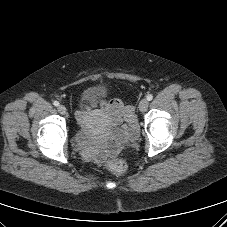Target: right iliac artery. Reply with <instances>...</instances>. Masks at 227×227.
I'll return each mask as SVG.
<instances>
[{"mask_svg":"<svg viewBox=\"0 0 227 227\" xmlns=\"http://www.w3.org/2000/svg\"><path fill=\"white\" fill-rule=\"evenodd\" d=\"M53 105L57 107V106H59V102L58 101H54Z\"/></svg>","mask_w":227,"mask_h":227,"instance_id":"right-iliac-artery-1","label":"right iliac artery"}]
</instances>
